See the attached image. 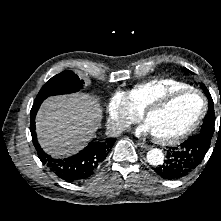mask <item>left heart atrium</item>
<instances>
[{
	"label": "left heart atrium",
	"mask_w": 221,
	"mask_h": 221,
	"mask_svg": "<svg viewBox=\"0 0 221 221\" xmlns=\"http://www.w3.org/2000/svg\"><path fill=\"white\" fill-rule=\"evenodd\" d=\"M135 133L137 135H141V134H150L152 133L149 126L147 125V123L145 122L144 124L140 125L136 130Z\"/></svg>",
	"instance_id": "left-heart-atrium-1"
}]
</instances>
